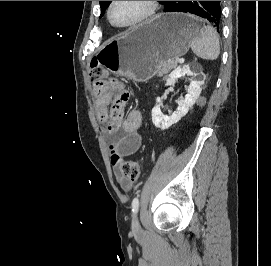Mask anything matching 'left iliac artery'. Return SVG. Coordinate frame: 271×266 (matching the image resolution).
I'll use <instances>...</instances> for the list:
<instances>
[{
	"instance_id": "1",
	"label": "left iliac artery",
	"mask_w": 271,
	"mask_h": 266,
	"mask_svg": "<svg viewBox=\"0 0 271 266\" xmlns=\"http://www.w3.org/2000/svg\"><path fill=\"white\" fill-rule=\"evenodd\" d=\"M139 207V199L135 197L132 201V211L133 213H137Z\"/></svg>"
}]
</instances>
